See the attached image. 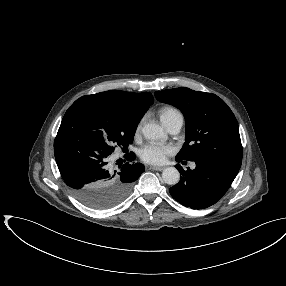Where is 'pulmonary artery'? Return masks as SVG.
<instances>
[{
    "label": "pulmonary artery",
    "mask_w": 286,
    "mask_h": 286,
    "mask_svg": "<svg viewBox=\"0 0 286 286\" xmlns=\"http://www.w3.org/2000/svg\"><path fill=\"white\" fill-rule=\"evenodd\" d=\"M183 123H184V119H183V116L182 114H177L175 115L174 117H172L166 124H165V127L166 129L168 130V132H170L171 134H176L178 133L182 126H183ZM195 163H191L190 164V167L192 169L195 168Z\"/></svg>",
    "instance_id": "pulmonary-artery-1"
}]
</instances>
